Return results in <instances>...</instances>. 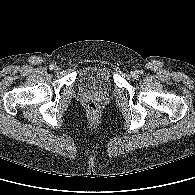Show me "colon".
I'll return each mask as SVG.
<instances>
[{
    "label": "colon",
    "mask_w": 195,
    "mask_h": 195,
    "mask_svg": "<svg viewBox=\"0 0 195 195\" xmlns=\"http://www.w3.org/2000/svg\"><path fill=\"white\" fill-rule=\"evenodd\" d=\"M87 108H88V111L91 114H97L98 113V110H99V107H98V105L95 102H90L88 104Z\"/></svg>",
    "instance_id": "colon-1"
}]
</instances>
